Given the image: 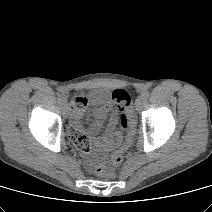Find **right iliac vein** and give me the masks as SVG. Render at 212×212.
Segmentation results:
<instances>
[{"mask_svg": "<svg viewBox=\"0 0 212 212\" xmlns=\"http://www.w3.org/2000/svg\"><path fill=\"white\" fill-rule=\"evenodd\" d=\"M62 107H63V113H64V115L67 117V116H69V107H68V105H67V103H66V100H64L63 102H62Z\"/></svg>", "mask_w": 212, "mask_h": 212, "instance_id": "63e3f726", "label": "right iliac vein"}]
</instances>
